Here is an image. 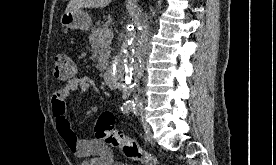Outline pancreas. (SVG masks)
<instances>
[{
	"mask_svg": "<svg viewBox=\"0 0 276 165\" xmlns=\"http://www.w3.org/2000/svg\"><path fill=\"white\" fill-rule=\"evenodd\" d=\"M101 31L102 28L94 26L88 38L93 58L97 61L96 68L102 72L108 65L112 37L102 36Z\"/></svg>",
	"mask_w": 276,
	"mask_h": 165,
	"instance_id": "cf45deb5",
	"label": "pancreas"
}]
</instances>
